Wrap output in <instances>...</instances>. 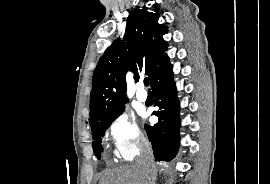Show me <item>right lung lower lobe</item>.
Wrapping results in <instances>:
<instances>
[{
  "instance_id": "1",
  "label": "right lung lower lobe",
  "mask_w": 270,
  "mask_h": 184,
  "mask_svg": "<svg viewBox=\"0 0 270 184\" xmlns=\"http://www.w3.org/2000/svg\"><path fill=\"white\" fill-rule=\"evenodd\" d=\"M151 88L155 106L159 107L153 115L159 121L154 126L146 124L144 128L152 144L155 161H171L177 154L180 140L179 101L171 66L153 81Z\"/></svg>"
}]
</instances>
